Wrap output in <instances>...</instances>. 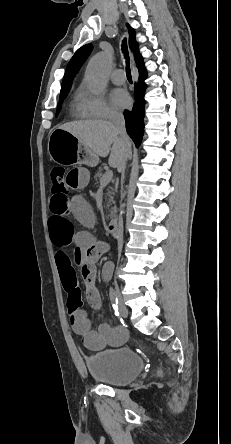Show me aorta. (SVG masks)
I'll return each mask as SVG.
<instances>
[{
    "label": "aorta",
    "mask_w": 231,
    "mask_h": 444,
    "mask_svg": "<svg viewBox=\"0 0 231 444\" xmlns=\"http://www.w3.org/2000/svg\"><path fill=\"white\" fill-rule=\"evenodd\" d=\"M111 65V57L100 53L93 57L86 70V83L94 93H100L107 85V72Z\"/></svg>",
    "instance_id": "1"
}]
</instances>
